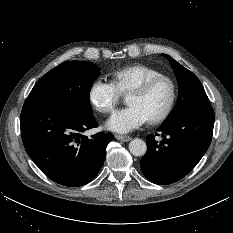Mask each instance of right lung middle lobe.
Instances as JSON below:
<instances>
[{
  "instance_id": "1",
  "label": "right lung middle lobe",
  "mask_w": 233,
  "mask_h": 233,
  "mask_svg": "<svg viewBox=\"0 0 233 233\" xmlns=\"http://www.w3.org/2000/svg\"><path fill=\"white\" fill-rule=\"evenodd\" d=\"M99 74L100 68L91 62H63L38 80L26 100L67 104L93 117L89 95Z\"/></svg>"
}]
</instances>
